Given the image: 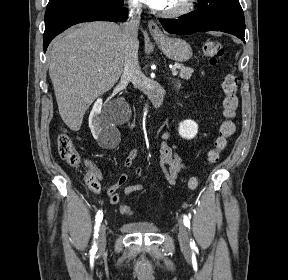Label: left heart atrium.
I'll use <instances>...</instances> for the list:
<instances>
[{
  "instance_id": "obj_1",
  "label": "left heart atrium",
  "mask_w": 288,
  "mask_h": 280,
  "mask_svg": "<svg viewBox=\"0 0 288 280\" xmlns=\"http://www.w3.org/2000/svg\"><path fill=\"white\" fill-rule=\"evenodd\" d=\"M149 6L157 10H164L168 0H144Z\"/></svg>"
}]
</instances>
